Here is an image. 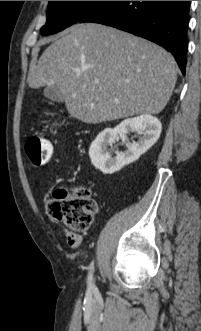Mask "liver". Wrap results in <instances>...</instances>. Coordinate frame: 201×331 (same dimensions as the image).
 <instances>
[{"instance_id": "6515ba94", "label": "liver", "mask_w": 201, "mask_h": 331, "mask_svg": "<svg viewBox=\"0 0 201 331\" xmlns=\"http://www.w3.org/2000/svg\"><path fill=\"white\" fill-rule=\"evenodd\" d=\"M176 80L169 52L94 23L65 30L28 74L30 88L57 85L70 115L93 124L160 113Z\"/></svg>"}]
</instances>
